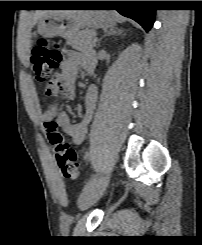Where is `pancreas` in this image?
I'll list each match as a JSON object with an SVG mask.
<instances>
[{
	"mask_svg": "<svg viewBox=\"0 0 202 245\" xmlns=\"http://www.w3.org/2000/svg\"><path fill=\"white\" fill-rule=\"evenodd\" d=\"M96 33L94 30H82L74 37L67 40V44L72 46V48L82 51L88 50L95 46L94 42Z\"/></svg>",
	"mask_w": 202,
	"mask_h": 245,
	"instance_id": "pancreas-1",
	"label": "pancreas"
}]
</instances>
